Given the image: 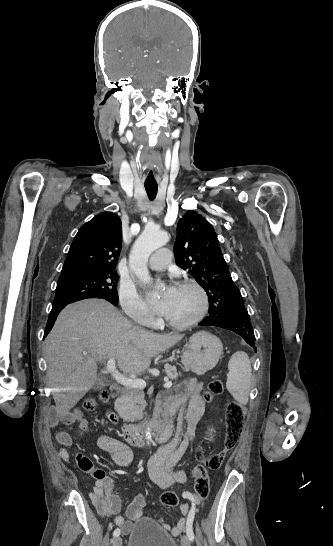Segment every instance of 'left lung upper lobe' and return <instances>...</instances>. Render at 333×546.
<instances>
[{
  "label": "left lung upper lobe",
  "instance_id": "left-lung-upper-lobe-1",
  "mask_svg": "<svg viewBox=\"0 0 333 546\" xmlns=\"http://www.w3.org/2000/svg\"><path fill=\"white\" fill-rule=\"evenodd\" d=\"M176 264L196 278L209 296V316H225L244 309L212 225L195 211L178 222L174 246Z\"/></svg>",
  "mask_w": 333,
  "mask_h": 546
}]
</instances>
